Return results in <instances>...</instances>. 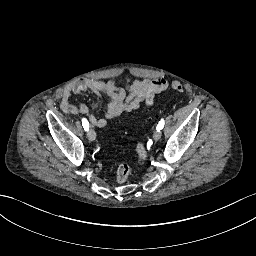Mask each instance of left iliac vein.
Instances as JSON below:
<instances>
[{
  "label": "left iliac vein",
  "mask_w": 256,
  "mask_h": 256,
  "mask_svg": "<svg viewBox=\"0 0 256 256\" xmlns=\"http://www.w3.org/2000/svg\"><path fill=\"white\" fill-rule=\"evenodd\" d=\"M153 138H154L155 141L160 140V138H161V131L160 130H156L154 132V134H153Z\"/></svg>",
  "instance_id": "4c4485c4"
}]
</instances>
